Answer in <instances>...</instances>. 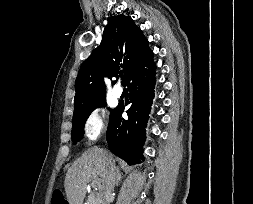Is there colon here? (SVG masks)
Wrapping results in <instances>:
<instances>
[{"label": "colon", "mask_w": 253, "mask_h": 204, "mask_svg": "<svg viewBox=\"0 0 253 204\" xmlns=\"http://www.w3.org/2000/svg\"><path fill=\"white\" fill-rule=\"evenodd\" d=\"M51 204H65L64 195L61 191H54L51 198Z\"/></svg>", "instance_id": "obj_1"}]
</instances>
